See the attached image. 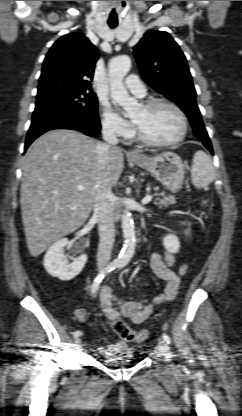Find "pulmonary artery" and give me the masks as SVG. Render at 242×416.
<instances>
[{
    "instance_id": "obj_1",
    "label": "pulmonary artery",
    "mask_w": 242,
    "mask_h": 416,
    "mask_svg": "<svg viewBox=\"0 0 242 416\" xmlns=\"http://www.w3.org/2000/svg\"><path fill=\"white\" fill-rule=\"evenodd\" d=\"M124 85L131 93L138 97H144L146 95L145 86L136 75H129Z\"/></svg>"
}]
</instances>
